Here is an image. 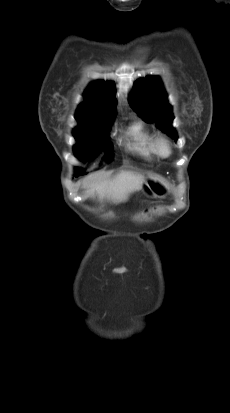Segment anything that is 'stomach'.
I'll return each mask as SVG.
<instances>
[{"label":"stomach","mask_w":230,"mask_h":413,"mask_svg":"<svg viewBox=\"0 0 230 413\" xmlns=\"http://www.w3.org/2000/svg\"><path fill=\"white\" fill-rule=\"evenodd\" d=\"M142 189L146 194L153 197H163L167 194L166 187L160 181L152 177L144 180Z\"/></svg>","instance_id":"obj_1"}]
</instances>
